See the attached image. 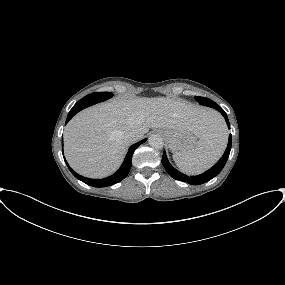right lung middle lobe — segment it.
<instances>
[{
  "instance_id": "dd1d6c3e",
  "label": "right lung middle lobe",
  "mask_w": 285,
  "mask_h": 285,
  "mask_svg": "<svg viewBox=\"0 0 285 285\" xmlns=\"http://www.w3.org/2000/svg\"><path fill=\"white\" fill-rule=\"evenodd\" d=\"M113 96V93L111 92H100V93H92L89 94L87 96H85L84 98H82L81 100H79L71 110H77V112H79L80 110L91 106L93 104L99 103L101 101H105L109 98H111Z\"/></svg>"
}]
</instances>
